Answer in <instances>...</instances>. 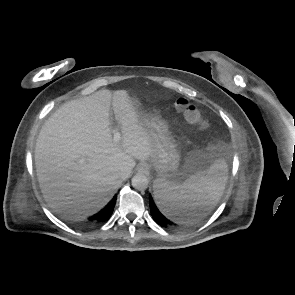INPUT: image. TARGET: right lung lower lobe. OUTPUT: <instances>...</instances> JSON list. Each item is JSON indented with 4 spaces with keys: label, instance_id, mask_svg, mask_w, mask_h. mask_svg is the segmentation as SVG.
I'll list each match as a JSON object with an SVG mask.
<instances>
[{
    "label": "right lung lower lobe",
    "instance_id": "obj_1",
    "mask_svg": "<svg viewBox=\"0 0 295 295\" xmlns=\"http://www.w3.org/2000/svg\"><path fill=\"white\" fill-rule=\"evenodd\" d=\"M115 203H116V196L113 198V200L107 206L106 209H104V210L100 211L99 213L95 214L94 216H91L90 218H88L87 223L89 225H94V224L106 222L112 214Z\"/></svg>",
    "mask_w": 295,
    "mask_h": 295
}]
</instances>
